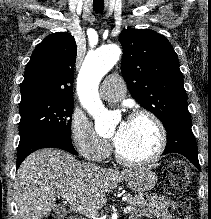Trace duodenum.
Here are the masks:
<instances>
[{
	"instance_id": "410a0bca",
	"label": "duodenum",
	"mask_w": 211,
	"mask_h": 219,
	"mask_svg": "<svg viewBox=\"0 0 211 219\" xmlns=\"http://www.w3.org/2000/svg\"><path fill=\"white\" fill-rule=\"evenodd\" d=\"M71 219H79L78 217H71Z\"/></svg>"
}]
</instances>
